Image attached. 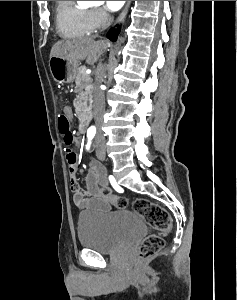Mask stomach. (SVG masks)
<instances>
[{"label":"stomach","instance_id":"0dacf381","mask_svg":"<svg viewBox=\"0 0 237 300\" xmlns=\"http://www.w3.org/2000/svg\"><path fill=\"white\" fill-rule=\"evenodd\" d=\"M49 67L54 81H57V83H73L78 63L77 61L63 59V57H50Z\"/></svg>","mask_w":237,"mask_h":300}]
</instances>
